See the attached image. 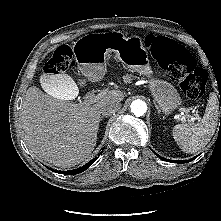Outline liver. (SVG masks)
I'll use <instances>...</instances> for the list:
<instances>
[{
	"mask_svg": "<svg viewBox=\"0 0 221 221\" xmlns=\"http://www.w3.org/2000/svg\"><path fill=\"white\" fill-rule=\"evenodd\" d=\"M65 76L68 81L66 97H69L68 91H73L75 96L78 87L70 76ZM51 77L46 74L40 77L41 86L47 93L53 91L47 83ZM123 99V92L112 90L96 102L86 99L76 103L45 94L32 86L25 94L20 113L25 141L44 161L61 168L75 166L85 161L96 145L102 107L111 102L120 103Z\"/></svg>",
	"mask_w": 221,
	"mask_h": 221,
	"instance_id": "obj_1",
	"label": "liver"
}]
</instances>
